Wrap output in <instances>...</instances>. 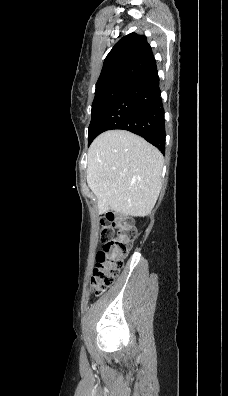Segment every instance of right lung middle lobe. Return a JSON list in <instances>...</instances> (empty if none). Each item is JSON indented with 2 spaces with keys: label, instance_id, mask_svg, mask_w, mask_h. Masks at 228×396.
Returning a JSON list of instances; mask_svg holds the SVG:
<instances>
[{
  "label": "right lung middle lobe",
  "instance_id": "dd1d6c3e",
  "mask_svg": "<svg viewBox=\"0 0 228 396\" xmlns=\"http://www.w3.org/2000/svg\"><path fill=\"white\" fill-rule=\"evenodd\" d=\"M127 85L123 83H111L96 88L95 98L92 104V118L89 125L88 141L94 137L96 132L95 125L103 112Z\"/></svg>",
  "mask_w": 228,
  "mask_h": 396
}]
</instances>
